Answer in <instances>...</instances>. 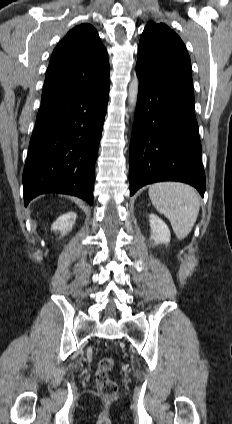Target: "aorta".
Instances as JSON below:
<instances>
[{
  "mask_svg": "<svg viewBox=\"0 0 232 424\" xmlns=\"http://www.w3.org/2000/svg\"><path fill=\"white\" fill-rule=\"evenodd\" d=\"M138 86H139V81L137 77H134V79L131 81L129 85V104L131 106V111H133L137 103Z\"/></svg>",
  "mask_w": 232,
  "mask_h": 424,
  "instance_id": "obj_1",
  "label": "aorta"
}]
</instances>
